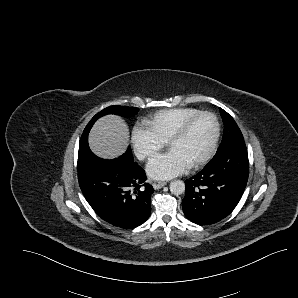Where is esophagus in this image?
Segmentation results:
<instances>
[{
  "label": "esophagus",
  "instance_id": "obj_1",
  "mask_svg": "<svg viewBox=\"0 0 298 298\" xmlns=\"http://www.w3.org/2000/svg\"><path fill=\"white\" fill-rule=\"evenodd\" d=\"M165 185H166V182H164V181L156 180V181L152 182V186L154 189H160V188L164 187Z\"/></svg>",
  "mask_w": 298,
  "mask_h": 298
}]
</instances>
